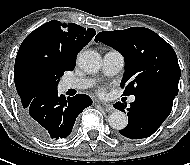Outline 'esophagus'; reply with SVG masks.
<instances>
[{
  "mask_svg": "<svg viewBox=\"0 0 190 165\" xmlns=\"http://www.w3.org/2000/svg\"><path fill=\"white\" fill-rule=\"evenodd\" d=\"M98 104H100L104 108V110L107 111V112L114 111L113 106L110 105V104H107V103H104V102H100V101L98 102Z\"/></svg>",
  "mask_w": 190,
  "mask_h": 165,
  "instance_id": "esophagus-1",
  "label": "esophagus"
}]
</instances>
